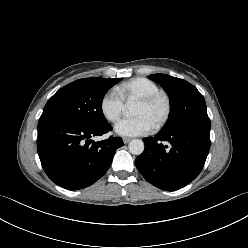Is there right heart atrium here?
Returning <instances> with one entry per match:
<instances>
[{
    "label": "right heart atrium",
    "mask_w": 248,
    "mask_h": 248,
    "mask_svg": "<svg viewBox=\"0 0 248 248\" xmlns=\"http://www.w3.org/2000/svg\"><path fill=\"white\" fill-rule=\"evenodd\" d=\"M124 106V100L114 90L107 91L100 102L101 113L109 122H115L120 118Z\"/></svg>",
    "instance_id": "obj_1"
}]
</instances>
